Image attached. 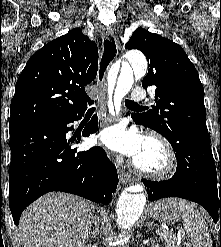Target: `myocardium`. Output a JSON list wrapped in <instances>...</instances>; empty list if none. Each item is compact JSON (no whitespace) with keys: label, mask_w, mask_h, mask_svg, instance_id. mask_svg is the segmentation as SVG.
Returning a JSON list of instances; mask_svg holds the SVG:
<instances>
[{"label":"myocardium","mask_w":221,"mask_h":247,"mask_svg":"<svg viewBox=\"0 0 221 247\" xmlns=\"http://www.w3.org/2000/svg\"><path fill=\"white\" fill-rule=\"evenodd\" d=\"M146 140L156 143L164 152L166 163L159 170H147L140 167L134 159L130 161L132 169L139 175L150 179H164L172 176L178 168V155L174 145L162 134L152 131Z\"/></svg>","instance_id":"1"}]
</instances>
